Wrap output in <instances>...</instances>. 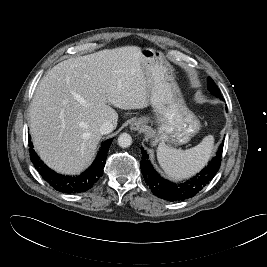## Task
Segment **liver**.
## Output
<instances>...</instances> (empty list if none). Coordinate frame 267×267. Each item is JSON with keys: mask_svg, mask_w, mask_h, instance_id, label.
Masks as SVG:
<instances>
[{"mask_svg": "<svg viewBox=\"0 0 267 267\" xmlns=\"http://www.w3.org/2000/svg\"><path fill=\"white\" fill-rule=\"evenodd\" d=\"M150 86L141 49H106L58 63L39 82L30 106L32 141L40 158L62 174H76L93 159L101 125L115 127L112 106L143 109Z\"/></svg>", "mask_w": 267, "mask_h": 267, "instance_id": "obj_1", "label": "liver"}]
</instances>
